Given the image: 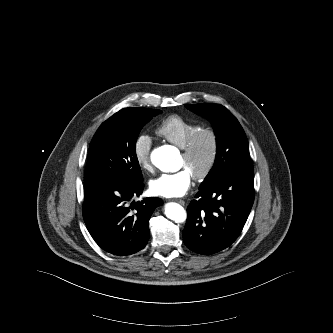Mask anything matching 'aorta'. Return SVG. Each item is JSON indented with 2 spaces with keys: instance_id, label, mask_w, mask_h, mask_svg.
I'll return each mask as SVG.
<instances>
[{
  "instance_id": "aorta-1",
  "label": "aorta",
  "mask_w": 333,
  "mask_h": 333,
  "mask_svg": "<svg viewBox=\"0 0 333 333\" xmlns=\"http://www.w3.org/2000/svg\"><path fill=\"white\" fill-rule=\"evenodd\" d=\"M178 152L174 147L161 146L152 151V163L163 172L175 171ZM165 215L176 223H182L186 220L187 214L185 209L178 203H167L165 205Z\"/></svg>"
}]
</instances>
